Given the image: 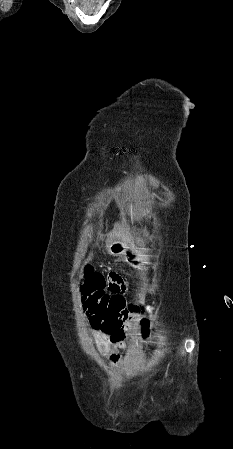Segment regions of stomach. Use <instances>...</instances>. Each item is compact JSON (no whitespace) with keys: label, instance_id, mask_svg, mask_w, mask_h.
Instances as JSON below:
<instances>
[{"label":"stomach","instance_id":"stomach-1","mask_svg":"<svg viewBox=\"0 0 233 449\" xmlns=\"http://www.w3.org/2000/svg\"><path fill=\"white\" fill-rule=\"evenodd\" d=\"M108 250L110 254L115 256L126 255L129 258L130 263L137 268H142L148 263L146 256L134 254L127 242L114 241L110 244Z\"/></svg>","mask_w":233,"mask_h":449}]
</instances>
